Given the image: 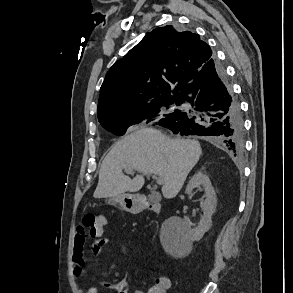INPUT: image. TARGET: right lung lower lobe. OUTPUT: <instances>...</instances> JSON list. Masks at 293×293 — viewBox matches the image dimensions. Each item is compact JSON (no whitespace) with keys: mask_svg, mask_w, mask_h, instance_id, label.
<instances>
[{"mask_svg":"<svg viewBox=\"0 0 293 293\" xmlns=\"http://www.w3.org/2000/svg\"><path fill=\"white\" fill-rule=\"evenodd\" d=\"M176 109L157 124L175 134L212 136L234 153L244 149V126L241 110L232 96L224 69L213 58L193 80L186 85L175 100Z\"/></svg>","mask_w":293,"mask_h":293,"instance_id":"98d812e1","label":"right lung lower lobe"}]
</instances>
